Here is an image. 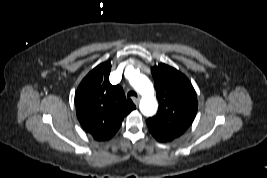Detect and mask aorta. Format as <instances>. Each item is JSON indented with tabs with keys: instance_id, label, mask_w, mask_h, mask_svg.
Listing matches in <instances>:
<instances>
[{
	"instance_id": "aorta-1",
	"label": "aorta",
	"mask_w": 267,
	"mask_h": 178,
	"mask_svg": "<svg viewBox=\"0 0 267 178\" xmlns=\"http://www.w3.org/2000/svg\"><path fill=\"white\" fill-rule=\"evenodd\" d=\"M131 85L142 96L140 110L145 116L153 115L158 107L154 96V88L150 80L142 74L132 73L129 77Z\"/></svg>"
}]
</instances>
